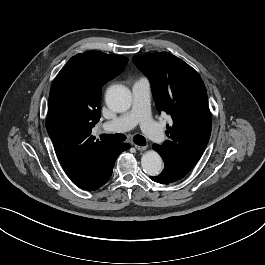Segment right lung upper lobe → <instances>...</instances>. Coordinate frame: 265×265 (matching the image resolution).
Listing matches in <instances>:
<instances>
[{"label": "right lung upper lobe", "mask_w": 265, "mask_h": 265, "mask_svg": "<svg viewBox=\"0 0 265 265\" xmlns=\"http://www.w3.org/2000/svg\"><path fill=\"white\" fill-rule=\"evenodd\" d=\"M128 60L89 51L72 57L56 76L49 96L46 128L66 173L77 169L95 150L109 145L95 140L91 131L100 119L101 87ZM61 85L68 93L64 102L59 99Z\"/></svg>", "instance_id": "right-lung-upper-lobe-1"}]
</instances>
